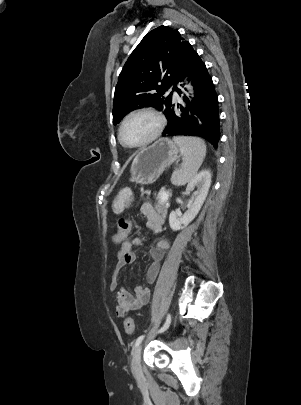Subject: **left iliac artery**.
I'll return each instance as SVG.
<instances>
[{
	"label": "left iliac artery",
	"instance_id": "44dca946",
	"mask_svg": "<svg viewBox=\"0 0 301 405\" xmlns=\"http://www.w3.org/2000/svg\"><path fill=\"white\" fill-rule=\"evenodd\" d=\"M170 322H171V316L168 314L164 325L161 327V329L158 332H160V333L164 332L169 327ZM144 337H145V335H141L136 339L135 345H134L135 348L142 342Z\"/></svg>",
	"mask_w": 301,
	"mask_h": 405
}]
</instances>
